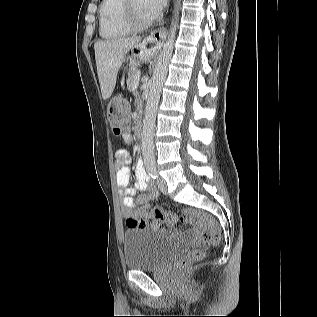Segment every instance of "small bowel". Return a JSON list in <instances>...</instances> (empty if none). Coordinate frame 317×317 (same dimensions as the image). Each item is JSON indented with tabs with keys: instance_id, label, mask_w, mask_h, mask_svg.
Instances as JSON below:
<instances>
[{
	"instance_id": "1",
	"label": "small bowel",
	"mask_w": 317,
	"mask_h": 317,
	"mask_svg": "<svg viewBox=\"0 0 317 317\" xmlns=\"http://www.w3.org/2000/svg\"><path fill=\"white\" fill-rule=\"evenodd\" d=\"M123 138L126 143L130 142V136L125 133ZM116 182L122 195V214L125 217L144 218L149 219L153 214L149 210L147 199L144 197H136L137 191L148 190L149 198H156L158 190L154 186H149V177L145 170L144 164L141 161L137 162L135 169L136 183L134 187L129 186L130 182V156L126 150H118L116 152ZM160 230L169 235L176 237L177 232L173 227V223H167L165 227ZM197 235L196 230H190L185 235V239H192Z\"/></svg>"
}]
</instances>
